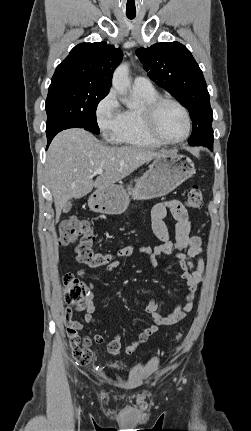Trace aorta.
I'll return each mask as SVG.
<instances>
[{
    "label": "aorta",
    "instance_id": "1",
    "mask_svg": "<svg viewBox=\"0 0 251 431\" xmlns=\"http://www.w3.org/2000/svg\"><path fill=\"white\" fill-rule=\"evenodd\" d=\"M112 85L120 95H126L130 87L129 65L127 63L120 64L114 71ZM128 108H134L135 102L122 100Z\"/></svg>",
    "mask_w": 251,
    "mask_h": 431
}]
</instances>
